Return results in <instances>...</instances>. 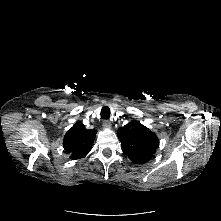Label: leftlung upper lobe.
I'll return each mask as SVG.
<instances>
[{
	"label": "left lung upper lobe",
	"instance_id": "left-lung-upper-lobe-1",
	"mask_svg": "<svg viewBox=\"0 0 221 221\" xmlns=\"http://www.w3.org/2000/svg\"><path fill=\"white\" fill-rule=\"evenodd\" d=\"M122 151L134 163L148 162L156 152L158 138L138 121H131L118 129Z\"/></svg>",
	"mask_w": 221,
	"mask_h": 221
}]
</instances>
